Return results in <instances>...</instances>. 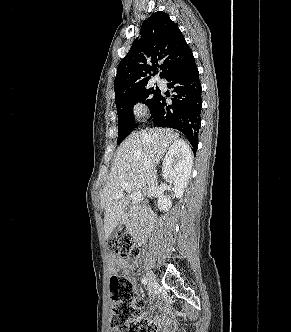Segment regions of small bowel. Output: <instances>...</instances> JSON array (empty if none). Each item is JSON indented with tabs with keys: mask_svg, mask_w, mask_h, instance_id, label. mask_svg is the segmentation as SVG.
<instances>
[{
	"mask_svg": "<svg viewBox=\"0 0 291 332\" xmlns=\"http://www.w3.org/2000/svg\"><path fill=\"white\" fill-rule=\"evenodd\" d=\"M109 262H110V265H111V270L113 272L122 271L126 275H131L132 272H133L132 266L129 265L127 262L119 259V258H116L114 256H110L109 257ZM154 321L157 324L163 326L164 328H166L168 326V324L166 322H163L159 316H156Z\"/></svg>",
	"mask_w": 291,
	"mask_h": 332,
	"instance_id": "small-bowel-1",
	"label": "small bowel"
}]
</instances>
